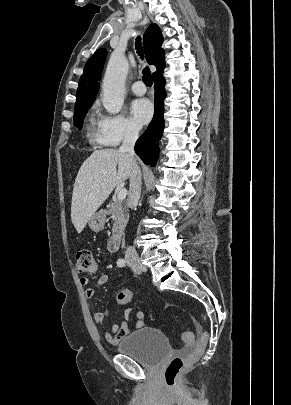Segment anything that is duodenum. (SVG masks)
I'll return each mask as SVG.
<instances>
[{
  "label": "duodenum",
  "mask_w": 291,
  "mask_h": 405,
  "mask_svg": "<svg viewBox=\"0 0 291 405\" xmlns=\"http://www.w3.org/2000/svg\"><path fill=\"white\" fill-rule=\"evenodd\" d=\"M122 235L120 233H116L110 237L107 243V249L110 252H116L121 245Z\"/></svg>",
  "instance_id": "410a0bca"
}]
</instances>
